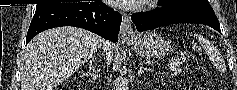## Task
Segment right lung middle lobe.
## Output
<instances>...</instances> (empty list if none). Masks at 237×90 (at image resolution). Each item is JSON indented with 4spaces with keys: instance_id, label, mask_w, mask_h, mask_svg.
Here are the masks:
<instances>
[{
    "instance_id": "obj_1",
    "label": "right lung middle lobe",
    "mask_w": 237,
    "mask_h": 90,
    "mask_svg": "<svg viewBox=\"0 0 237 90\" xmlns=\"http://www.w3.org/2000/svg\"><path fill=\"white\" fill-rule=\"evenodd\" d=\"M42 5H45V4H37V6H36V7H39V6H42Z\"/></svg>"
}]
</instances>
